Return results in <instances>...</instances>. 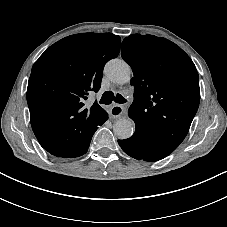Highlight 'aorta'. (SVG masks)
<instances>
[{
    "label": "aorta",
    "instance_id": "762f6f07",
    "mask_svg": "<svg viewBox=\"0 0 227 227\" xmlns=\"http://www.w3.org/2000/svg\"><path fill=\"white\" fill-rule=\"evenodd\" d=\"M104 72L112 82L117 84L128 83L131 79L130 66L121 59L110 60ZM134 127V122L130 118H120L115 122L113 131L120 139H127L133 135Z\"/></svg>",
    "mask_w": 227,
    "mask_h": 227
}]
</instances>
